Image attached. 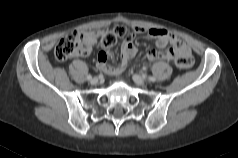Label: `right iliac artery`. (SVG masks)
I'll return each instance as SVG.
<instances>
[{
  "instance_id": "obj_1",
  "label": "right iliac artery",
  "mask_w": 238,
  "mask_h": 158,
  "mask_svg": "<svg viewBox=\"0 0 238 158\" xmlns=\"http://www.w3.org/2000/svg\"><path fill=\"white\" fill-rule=\"evenodd\" d=\"M88 80H91L92 79V76L91 75H87L86 77Z\"/></svg>"
}]
</instances>
